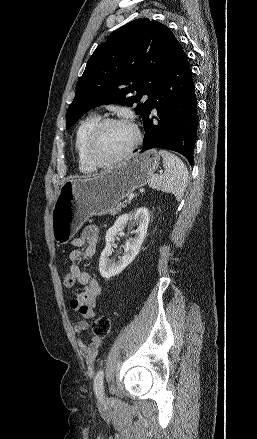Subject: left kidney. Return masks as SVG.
Returning <instances> with one entry per match:
<instances>
[{
  "label": "left kidney",
  "mask_w": 257,
  "mask_h": 439,
  "mask_svg": "<svg viewBox=\"0 0 257 439\" xmlns=\"http://www.w3.org/2000/svg\"><path fill=\"white\" fill-rule=\"evenodd\" d=\"M149 220L148 209L141 207L134 212L119 216L114 225L108 229L105 236L106 245L99 260V271L103 278L109 279L118 275L136 258L146 238ZM127 224L137 226L135 237L126 240L124 255L118 261L110 259L114 237L118 232L123 231Z\"/></svg>",
  "instance_id": "obj_1"
}]
</instances>
